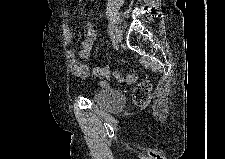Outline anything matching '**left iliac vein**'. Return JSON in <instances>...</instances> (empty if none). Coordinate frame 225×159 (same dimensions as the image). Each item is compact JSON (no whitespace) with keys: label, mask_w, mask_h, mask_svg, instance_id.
Instances as JSON below:
<instances>
[{"label":"left iliac vein","mask_w":225,"mask_h":159,"mask_svg":"<svg viewBox=\"0 0 225 159\" xmlns=\"http://www.w3.org/2000/svg\"><path fill=\"white\" fill-rule=\"evenodd\" d=\"M123 33L120 29H115L113 33V39L115 43H119L122 40Z\"/></svg>","instance_id":"1"}]
</instances>
